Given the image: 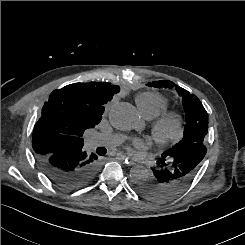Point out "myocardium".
<instances>
[{"mask_svg":"<svg viewBox=\"0 0 245 245\" xmlns=\"http://www.w3.org/2000/svg\"><path fill=\"white\" fill-rule=\"evenodd\" d=\"M170 126L173 130L168 132ZM150 133L158 145L177 144L182 140L185 133V118L179 110H166L153 120L150 126Z\"/></svg>","mask_w":245,"mask_h":245,"instance_id":"obj_1","label":"myocardium"}]
</instances>
